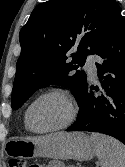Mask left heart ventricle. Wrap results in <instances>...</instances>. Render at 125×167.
Wrapping results in <instances>:
<instances>
[{"label": "left heart ventricle", "instance_id": "b2bd125f", "mask_svg": "<svg viewBox=\"0 0 125 167\" xmlns=\"http://www.w3.org/2000/svg\"><path fill=\"white\" fill-rule=\"evenodd\" d=\"M67 115L62 99L49 96L37 102L30 112V124L34 129L43 130L60 124Z\"/></svg>", "mask_w": 125, "mask_h": 167}]
</instances>
